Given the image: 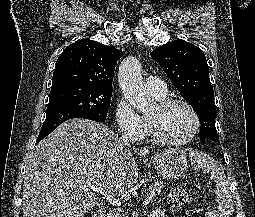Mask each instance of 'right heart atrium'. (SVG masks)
I'll return each instance as SVG.
<instances>
[{
    "label": "right heart atrium",
    "mask_w": 255,
    "mask_h": 217,
    "mask_svg": "<svg viewBox=\"0 0 255 217\" xmlns=\"http://www.w3.org/2000/svg\"><path fill=\"white\" fill-rule=\"evenodd\" d=\"M115 123L120 134L129 140H138L145 136L147 125L125 98H119L114 110Z\"/></svg>",
    "instance_id": "1"
}]
</instances>
